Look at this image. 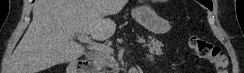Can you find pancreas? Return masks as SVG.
Instances as JSON below:
<instances>
[{
  "instance_id": "1",
  "label": "pancreas",
  "mask_w": 244,
  "mask_h": 73,
  "mask_svg": "<svg viewBox=\"0 0 244 73\" xmlns=\"http://www.w3.org/2000/svg\"><path fill=\"white\" fill-rule=\"evenodd\" d=\"M149 52L152 56L163 55L162 47L164 46L162 42L152 39L147 45ZM94 60L100 70H103L102 73H109L106 71L107 67L115 68L117 67V63L112 56V52H97L94 56Z\"/></svg>"
}]
</instances>
